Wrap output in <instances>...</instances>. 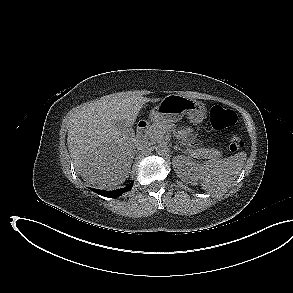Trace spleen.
<instances>
[{"instance_id": "3e777b00", "label": "spleen", "mask_w": 293, "mask_h": 293, "mask_svg": "<svg viewBox=\"0 0 293 293\" xmlns=\"http://www.w3.org/2000/svg\"><path fill=\"white\" fill-rule=\"evenodd\" d=\"M246 157L245 152H238L228 158L205 162L197 172L202 188L209 192H216L230 186L240 173Z\"/></svg>"}]
</instances>
